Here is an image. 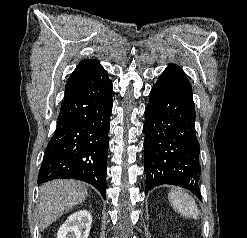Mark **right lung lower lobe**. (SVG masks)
Segmentation results:
<instances>
[{
  "label": "right lung lower lobe",
  "mask_w": 247,
  "mask_h": 238,
  "mask_svg": "<svg viewBox=\"0 0 247 238\" xmlns=\"http://www.w3.org/2000/svg\"><path fill=\"white\" fill-rule=\"evenodd\" d=\"M112 92L107 72L100 67L65 95L39 184L57 178L77 179L95 186L105 198Z\"/></svg>",
  "instance_id": "1"
}]
</instances>
